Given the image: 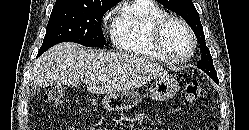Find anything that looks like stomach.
<instances>
[{"label":"stomach","mask_w":249,"mask_h":130,"mask_svg":"<svg viewBox=\"0 0 249 130\" xmlns=\"http://www.w3.org/2000/svg\"><path fill=\"white\" fill-rule=\"evenodd\" d=\"M180 86L170 76L157 78L150 87V97L154 100L166 101L175 96ZM141 102L138 91L108 94L102 100L103 108L110 112H120L133 108Z\"/></svg>","instance_id":"obj_1"}]
</instances>
